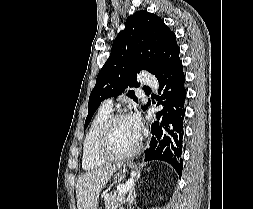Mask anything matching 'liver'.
Wrapping results in <instances>:
<instances>
[{
    "instance_id": "obj_1",
    "label": "liver",
    "mask_w": 253,
    "mask_h": 209,
    "mask_svg": "<svg viewBox=\"0 0 253 209\" xmlns=\"http://www.w3.org/2000/svg\"><path fill=\"white\" fill-rule=\"evenodd\" d=\"M120 166L108 165L79 176L76 183L77 209H97L101 189Z\"/></svg>"
}]
</instances>
